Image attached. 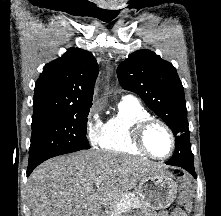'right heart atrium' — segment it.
Instances as JSON below:
<instances>
[{
	"label": "right heart atrium",
	"mask_w": 221,
	"mask_h": 216,
	"mask_svg": "<svg viewBox=\"0 0 221 216\" xmlns=\"http://www.w3.org/2000/svg\"><path fill=\"white\" fill-rule=\"evenodd\" d=\"M102 127L99 110L97 107H92L86 122V137L91 145L94 146L99 143Z\"/></svg>",
	"instance_id": "obj_1"
}]
</instances>
